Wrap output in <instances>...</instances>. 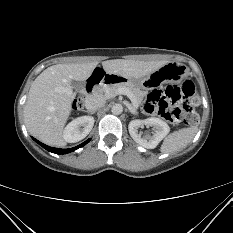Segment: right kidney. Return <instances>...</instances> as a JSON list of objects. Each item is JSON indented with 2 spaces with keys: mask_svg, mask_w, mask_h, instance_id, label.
<instances>
[{
  "mask_svg": "<svg viewBox=\"0 0 233 233\" xmlns=\"http://www.w3.org/2000/svg\"><path fill=\"white\" fill-rule=\"evenodd\" d=\"M94 121L92 116H81L72 120L63 131L64 140L69 143L82 140L92 130Z\"/></svg>",
  "mask_w": 233,
  "mask_h": 233,
  "instance_id": "obj_1",
  "label": "right kidney"
}]
</instances>
